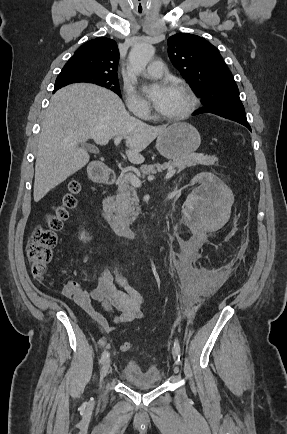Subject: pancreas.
<instances>
[{"instance_id": "pancreas-1", "label": "pancreas", "mask_w": 287, "mask_h": 434, "mask_svg": "<svg viewBox=\"0 0 287 434\" xmlns=\"http://www.w3.org/2000/svg\"><path fill=\"white\" fill-rule=\"evenodd\" d=\"M218 162V158L210 155H187L181 158L169 161L164 164L142 165L140 173L143 176L148 174H155L157 171L164 169H176L177 173L183 171L186 167H193L196 165L211 166ZM133 173L123 174L118 179V191L115 196L114 206L115 213L126 221H134L139 215L140 209L137 207L139 198L135 187L130 182V176Z\"/></svg>"}]
</instances>
